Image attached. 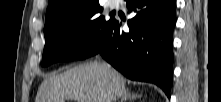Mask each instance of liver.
Segmentation results:
<instances>
[{
  "instance_id": "6515ba94",
  "label": "liver",
  "mask_w": 221,
  "mask_h": 102,
  "mask_svg": "<svg viewBox=\"0 0 221 102\" xmlns=\"http://www.w3.org/2000/svg\"><path fill=\"white\" fill-rule=\"evenodd\" d=\"M125 84L121 74L107 64H83L46 78L36 102H65L77 98H85L87 102H114L112 100L126 90Z\"/></svg>"
}]
</instances>
